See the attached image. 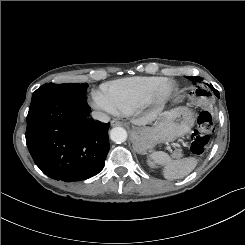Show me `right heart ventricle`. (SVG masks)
<instances>
[{"label": "right heart ventricle", "mask_w": 245, "mask_h": 245, "mask_svg": "<svg viewBox=\"0 0 245 245\" xmlns=\"http://www.w3.org/2000/svg\"><path fill=\"white\" fill-rule=\"evenodd\" d=\"M161 76H135L104 83L100 93L118 114H130L143 106L166 81Z\"/></svg>", "instance_id": "1"}]
</instances>
